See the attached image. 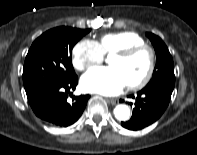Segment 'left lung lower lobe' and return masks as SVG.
Returning a JSON list of instances; mask_svg holds the SVG:
<instances>
[{
  "label": "left lung lower lobe",
  "instance_id": "left-lung-lower-lobe-1",
  "mask_svg": "<svg viewBox=\"0 0 197 155\" xmlns=\"http://www.w3.org/2000/svg\"><path fill=\"white\" fill-rule=\"evenodd\" d=\"M171 94L172 92L160 88L142 89L137 93L131 119L121 122V125L129 130H140L151 125L167 108Z\"/></svg>",
  "mask_w": 197,
  "mask_h": 155
}]
</instances>
